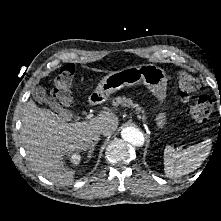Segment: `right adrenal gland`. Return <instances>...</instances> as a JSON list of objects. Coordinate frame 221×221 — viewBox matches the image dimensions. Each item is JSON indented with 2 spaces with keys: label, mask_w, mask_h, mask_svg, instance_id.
<instances>
[{
  "label": "right adrenal gland",
  "mask_w": 221,
  "mask_h": 221,
  "mask_svg": "<svg viewBox=\"0 0 221 221\" xmlns=\"http://www.w3.org/2000/svg\"><path fill=\"white\" fill-rule=\"evenodd\" d=\"M98 141H99V138H97L90 146L89 151H88V156H87L89 159L92 157V154L94 152L95 146L98 143Z\"/></svg>",
  "instance_id": "1"
}]
</instances>
